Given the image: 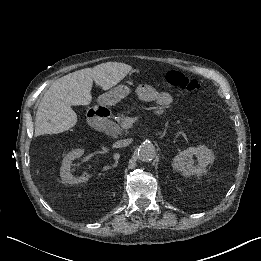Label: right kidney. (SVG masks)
I'll return each instance as SVG.
<instances>
[{"label": "right kidney", "instance_id": "1", "mask_svg": "<svg viewBox=\"0 0 261 261\" xmlns=\"http://www.w3.org/2000/svg\"><path fill=\"white\" fill-rule=\"evenodd\" d=\"M82 154L84 153L83 149H79ZM78 152V150H74L73 156H70V154H68L64 159H63V163L61 166V172L60 175L62 177V179L69 183V184H77L80 182H85L88 180V178H85L84 180H82L81 178H73L72 176H70L68 174L69 170H70V165H71V160H73L74 158H76L78 155L76 154Z\"/></svg>", "mask_w": 261, "mask_h": 261}]
</instances>
